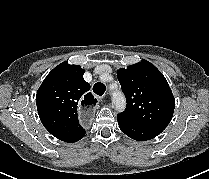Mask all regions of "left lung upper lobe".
<instances>
[{
    "mask_svg": "<svg viewBox=\"0 0 209 179\" xmlns=\"http://www.w3.org/2000/svg\"><path fill=\"white\" fill-rule=\"evenodd\" d=\"M127 100L118 116L161 133L172 119L175 98L162 73L147 60L117 71Z\"/></svg>",
    "mask_w": 209,
    "mask_h": 179,
    "instance_id": "5c2ea615",
    "label": "left lung upper lobe"
}]
</instances>
